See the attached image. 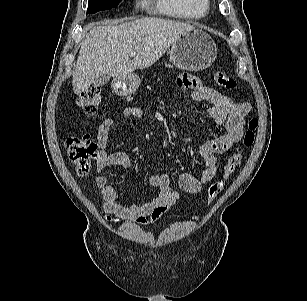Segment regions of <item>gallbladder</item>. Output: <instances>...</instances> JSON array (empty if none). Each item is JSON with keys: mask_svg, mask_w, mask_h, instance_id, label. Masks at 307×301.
<instances>
[{"mask_svg": "<svg viewBox=\"0 0 307 301\" xmlns=\"http://www.w3.org/2000/svg\"><path fill=\"white\" fill-rule=\"evenodd\" d=\"M109 81V75L107 74H99L93 81L94 86L102 87L106 85Z\"/></svg>", "mask_w": 307, "mask_h": 301, "instance_id": "bac80fb5", "label": "gallbladder"}]
</instances>
